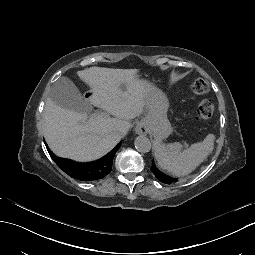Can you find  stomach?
I'll return each instance as SVG.
<instances>
[{"mask_svg":"<svg viewBox=\"0 0 255 255\" xmlns=\"http://www.w3.org/2000/svg\"><path fill=\"white\" fill-rule=\"evenodd\" d=\"M144 95L152 100V103L147 106L146 117L138 124L143 128V131L151 132L161 140L171 129L167 116L172 108V103L166 93L153 86L146 87Z\"/></svg>","mask_w":255,"mask_h":255,"instance_id":"obj_1","label":"stomach"}]
</instances>
